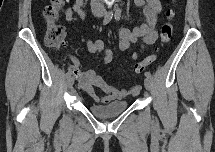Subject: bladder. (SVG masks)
Returning a JSON list of instances; mask_svg holds the SVG:
<instances>
[{"label": "bladder", "instance_id": "bladder-1", "mask_svg": "<svg viewBox=\"0 0 215 152\" xmlns=\"http://www.w3.org/2000/svg\"><path fill=\"white\" fill-rule=\"evenodd\" d=\"M129 106L127 101H111L104 104L93 103L90 111L100 118H109L123 113Z\"/></svg>", "mask_w": 215, "mask_h": 152}]
</instances>
